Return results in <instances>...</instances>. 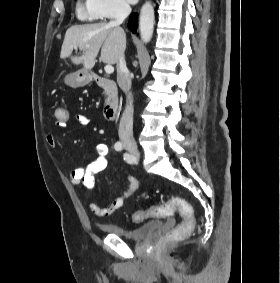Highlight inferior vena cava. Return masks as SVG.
<instances>
[{
	"label": "inferior vena cava",
	"instance_id": "602c4592",
	"mask_svg": "<svg viewBox=\"0 0 280 283\" xmlns=\"http://www.w3.org/2000/svg\"><path fill=\"white\" fill-rule=\"evenodd\" d=\"M130 13V5L126 2L120 3L116 11L115 20L111 21L110 24L119 27ZM116 70L118 85L126 94V107L120 120L118 130L119 138L125 147L135 146L136 143L133 137V95L130 92L131 77L126 66L124 52L121 54L116 64Z\"/></svg>",
	"mask_w": 280,
	"mask_h": 283
}]
</instances>
